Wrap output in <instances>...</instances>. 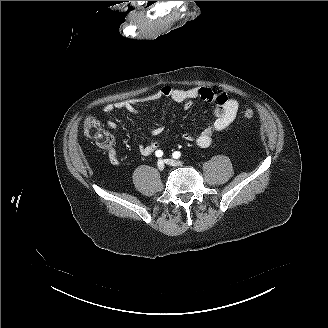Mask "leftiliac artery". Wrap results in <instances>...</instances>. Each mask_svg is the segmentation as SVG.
<instances>
[{"label": "left iliac artery", "instance_id": "44dca946", "mask_svg": "<svg viewBox=\"0 0 328 328\" xmlns=\"http://www.w3.org/2000/svg\"><path fill=\"white\" fill-rule=\"evenodd\" d=\"M173 158L177 159L181 156V153L178 152V151H175L173 154H172Z\"/></svg>", "mask_w": 328, "mask_h": 328}]
</instances>
